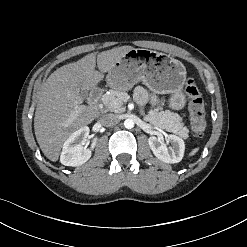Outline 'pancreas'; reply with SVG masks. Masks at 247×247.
I'll list each match as a JSON object with an SVG mask.
<instances>
[{
  "label": "pancreas",
  "mask_w": 247,
  "mask_h": 247,
  "mask_svg": "<svg viewBox=\"0 0 247 247\" xmlns=\"http://www.w3.org/2000/svg\"><path fill=\"white\" fill-rule=\"evenodd\" d=\"M128 98V94L124 91L110 90L104 94L102 101L107 110L120 113L123 111V103ZM114 101L117 102L116 105ZM144 119L154 126L179 135L183 139L188 138L189 130L182 123V118L176 113L162 111L160 108H156L151 109Z\"/></svg>",
  "instance_id": "pancreas-1"
}]
</instances>
